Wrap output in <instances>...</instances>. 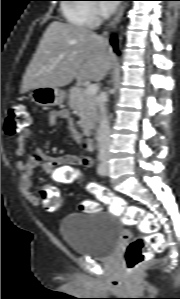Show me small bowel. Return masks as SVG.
<instances>
[{"mask_svg":"<svg viewBox=\"0 0 180 299\" xmlns=\"http://www.w3.org/2000/svg\"><path fill=\"white\" fill-rule=\"evenodd\" d=\"M60 120L67 122L68 129L73 139L79 144L84 152L88 153L92 151V141L89 139H82L81 134L75 129L73 120L67 110H52L47 114V122L50 126H55ZM31 136V130L25 129L16 138V156L22 157L24 155L25 143ZM91 165L92 160L87 156L52 157L48 156L40 149H35L31 152L27 161L19 160L16 167L21 173V187L26 198L32 205L38 206L40 204V199L32 193L31 181V176L35 168H41L44 172L52 174L58 182L67 183L79 167H90Z\"/></svg>","mask_w":180,"mask_h":299,"instance_id":"obj_1","label":"small bowel"}]
</instances>
